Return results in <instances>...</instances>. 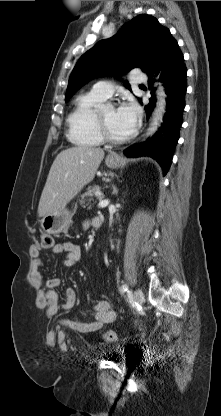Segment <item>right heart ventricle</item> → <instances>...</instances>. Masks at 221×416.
<instances>
[{"mask_svg": "<svg viewBox=\"0 0 221 416\" xmlns=\"http://www.w3.org/2000/svg\"><path fill=\"white\" fill-rule=\"evenodd\" d=\"M105 99L95 92L80 94L70 112L68 122V138L79 146H99L103 140L96 122L97 107Z\"/></svg>", "mask_w": 221, "mask_h": 416, "instance_id": "1", "label": "right heart ventricle"}]
</instances>
